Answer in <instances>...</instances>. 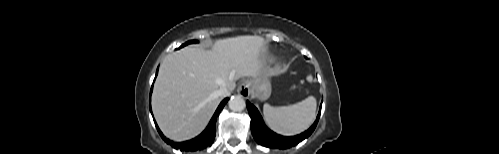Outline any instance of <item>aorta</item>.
Returning <instances> with one entry per match:
<instances>
[{"label":"aorta","mask_w":499,"mask_h":154,"mask_svg":"<svg viewBox=\"0 0 499 154\" xmlns=\"http://www.w3.org/2000/svg\"><path fill=\"white\" fill-rule=\"evenodd\" d=\"M228 104H229V108L235 112H240V111L244 110L246 107L245 100L239 95L232 96L230 98Z\"/></svg>","instance_id":"obj_1"}]
</instances>
